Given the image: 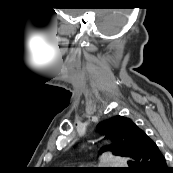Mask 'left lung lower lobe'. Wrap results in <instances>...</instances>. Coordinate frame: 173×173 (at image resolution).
I'll return each mask as SVG.
<instances>
[{
	"instance_id": "1",
	"label": "left lung lower lobe",
	"mask_w": 173,
	"mask_h": 173,
	"mask_svg": "<svg viewBox=\"0 0 173 173\" xmlns=\"http://www.w3.org/2000/svg\"><path fill=\"white\" fill-rule=\"evenodd\" d=\"M127 173H167L165 157L156 143L140 132V143L128 161Z\"/></svg>"
}]
</instances>
